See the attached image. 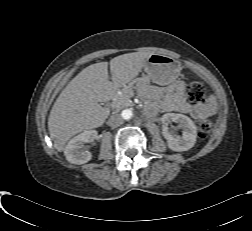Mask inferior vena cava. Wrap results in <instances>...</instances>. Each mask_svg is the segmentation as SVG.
I'll return each instance as SVG.
<instances>
[{
    "mask_svg": "<svg viewBox=\"0 0 252 231\" xmlns=\"http://www.w3.org/2000/svg\"><path fill=\"white\" fill-rule=\"evenodd\" d=\"M107 124L113 128L118 127L122 124V117L119 114H114L110 116L107 121Z\"/></svg>",
    "mask_w": 252,
    "mask_h": 231,
    "instance_id": "inferior-vena-cava-1",
    "label": "inferior vena cava"
}]
</instances>
